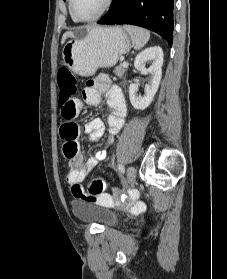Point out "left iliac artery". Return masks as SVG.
I'll use <instances>...</instances> for the list:
<instances>
[{
	"label": "left iliac artery",
	"mask_w": 227,
	"mask_h": 279,
	"mask_svg": "<svg viewBox=\"0 0 227 279\" xmlns=\"http://www.w3.org/2000/svg\"><path fill=\"white\" fill-rule=\"evenodd\" d=\"M119 170L124 173V166L123 165H119Z\"/></svg>",
	"instance_id": "obj_1"
}]
</instances>
